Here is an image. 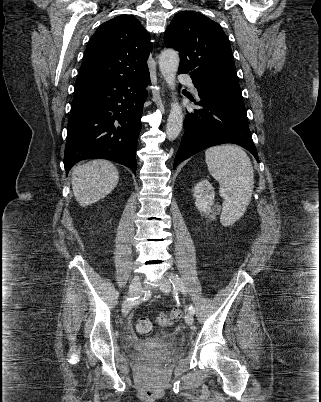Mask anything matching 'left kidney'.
<instances>
[{
  "instance_id": "1",
  "label": "left kidney",
  "mask_w": 321,
  "mask_h": 402,
  "mask_svg": "<svg viewBox=\"0 0 321 402\" xmlns=\"http://www.w3.org/2000/svg\"><path fill=\"white\" fill-rule=\"evenodd\" d=\"M193 196L195 198V206L197 209L205 214H210L215 197L214 188L210 182L203 179L196 184L194 187Z\"/></svg>"
}]
</instances>
